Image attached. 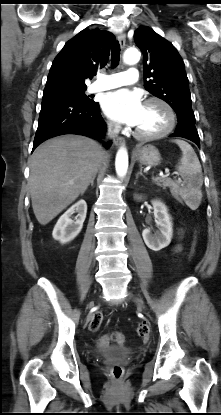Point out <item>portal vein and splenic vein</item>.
<instances>
[{"label":"portal vein and splenic vein","mask_w":221,"mask_h":415,"mask_svg":"<svg viewBox=\"0 0 221 415\" xmlns=\"http://www.w3.org/2000/svg\"><path fill=\"white\" fill-rule=\"evenodd\" d=\"M162 177H167V176H169L170 175V172H169V170H166L165 171V174H160Z\"/></svg>","instance_id":"obj_1"}]
</instances>
